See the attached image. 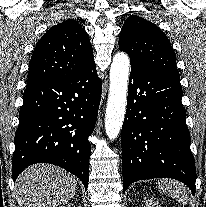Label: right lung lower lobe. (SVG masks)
Segmentation results:
<instances>
[{"instance_id":"right-lung-lower-lobe-1","label":"right lung lower lobe","mask_w":206,"mask_h":207,"mask_svg":"<svg viewBox=\"0 0 206 207\" xmlns=\"http://www.w3.org/2000/svg\"><path fill=\"white\" fill-rule=\"evenodd\" d=\"M101 99L95 64L66 79L27 86L15 133L12 178L35 163H50L88 187L92 134Z\"/></svg>"}]
</instances>
